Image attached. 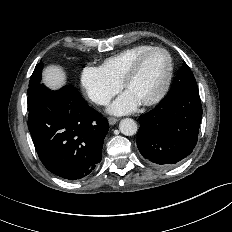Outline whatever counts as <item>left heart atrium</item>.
I'll list each match as a JSON object with an SVG mask.
<instances>
[{
	"mask_svg": "<svg viewBox=\"0 0 232 232\" xmlns=\"http://www.w3.org/2000/svg\"><path fill=\"white\" fill-rule=\"evenodd\" d=\"M140 104V101L126 91L111 104L108 111L113 114L122 115L135 110Z\"/></svg>",
	"mask_w": 232,
	"mask_h": 232,
	"instance_id": "1",
	"label": "left heart atrium"
}]
</instances>
